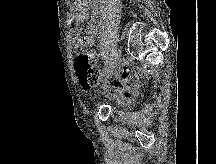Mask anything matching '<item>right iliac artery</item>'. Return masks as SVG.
I'll list each match as a JSON object with an SVG mask.
<instances>
[{"label": "right iliac artery", "instance_id": "obj_1", "mask_svg": "<svg viewBox=\"0 0 216 164\" xmlns=\"http://www.w3.org/2000/svg\"><path fill=\"white\" fill-rule=\"evenodd\" d=\"M113 56V55H112ZM113 61H114V58L113 57H110L109 58V62H108V68L109 69H112L113 68ZM104 72L101 74L103 77L106 75L105 73L108 71L106 68L103 70Z\"/></svg>", "mask_w": 216, "mask_h": 164}]
</instances>
